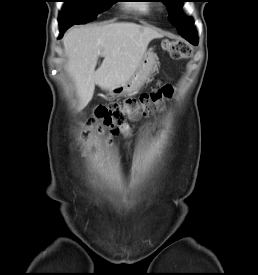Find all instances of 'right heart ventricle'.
<instances>
[{
	"mask_svg": "<svg viewBox=\"0 0 258 275\" xmlns=\"http://www.w3.org/2000/svg\"><path fill=\"white\" fill-rule=\"evenodd\" d=\"M136 8L141 10V11H146L148 7L146 5H139Z\"/></svg>",
	"mask_w": 258,
	"mask_h": 275,
	"instance_id": "e07e8e85",
	"label": "right heart ventricle"
}]
</instances>
